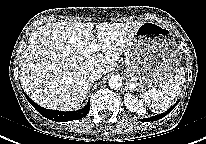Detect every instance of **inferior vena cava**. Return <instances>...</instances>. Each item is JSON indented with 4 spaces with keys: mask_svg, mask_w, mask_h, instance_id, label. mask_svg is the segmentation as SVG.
<instances>
[{
    "mask_svg": "<svg viewBox=\"0 0 206 144\" xmlns=\"http://www.w3.org/2000/svg\"><path fill=\"white\" fill-rule=\"evenodd\" d=\"M102 72L99 69L92 68L87 74L88 82H95L101 78Z\"/></svg>",
    "mask_w": 206,
    "mask_h": 144,
    "instance_id": "602c4592",
    "label": "inferior vena cava"
}]
</instances>
